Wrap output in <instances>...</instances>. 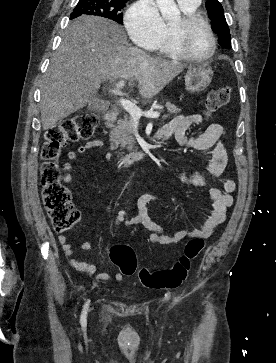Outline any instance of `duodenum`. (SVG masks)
<instances>
[{"mask_svg": "<svg viewBox=\"0 0 276 363\" xmlns=\"http://www.w3.org/2000/svg\"><path fill=\"white\" fill-rule=\"evenodd\" d=\"M118 116V111L114 108H110L105 112V119L107 121L114 120ZM162 136L160 134L156 135V139H161ZM147 156V150H134L131 152L121 153L117 155V159L122 164L129 166L133 163L142 160Z\"/></svg>", "mask_w": 276, "mask_h": 363, "instance_id": "obj_1", "label": "duodenum"}]
</instances>
